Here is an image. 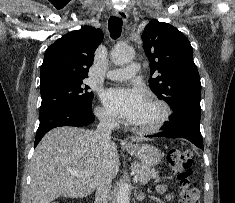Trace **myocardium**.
<instances>
[{
	"label": "myocardium",
	"mask_w": 235,
	"mask_h": 203,
	"mask_svg": "<svg viewBox=\"0 0 235 203\" xmlns=\"http://www.w3.org/2000/svg\"><path fill=\"white\" fill-rule=\"evenodd\" d=\"M147 102L158 107L159 116L153 123L149 125L130 124L131 129L140 134H153L159 132L165 126L171 116V109L165 101L157 98H150L147 100Z\"/></svg>",
	"instance_id": "1"
}]
</instances>
